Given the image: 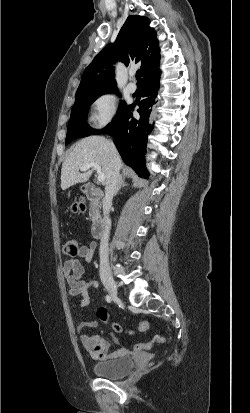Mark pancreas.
I'll return each instance as SVG.
<instances>
[{
  "label": "pancreas",
  "instance_id": "obj_1",
  "mask_svg": "<svg viewBox=\"0 0 250 413\" xmlns=\"http://www.w3.org/2000/svg\"><path fill=\"white\" fill-rule=\"evenodd\" d=\"M96 211H97V203L95 200H92L91 206H90V217L92 220H94L96 216Z\"/></svg>",
  "mask_w": 250,
  "mask_h": 413
}]
</instances>
